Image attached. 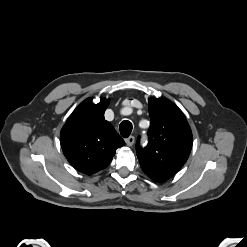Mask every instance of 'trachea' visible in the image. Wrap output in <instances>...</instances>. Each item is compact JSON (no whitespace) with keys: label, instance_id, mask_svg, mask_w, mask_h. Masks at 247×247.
<instances>
[{"label":"trachea","instance_id":"3493384b","mask_svg":"<svg viewBox=\"0 0 247 247\" xmlns=\"http://www.w3.org/2000/svg\"><path fill=\"white\" fill-rule=\"evenodd\" d=\"M132 123L128 120H124L120 123L119 130L122 137L127 138L132 131Z\"/></svg>","mask_w":247,"mask_h":247}]
</instances>
